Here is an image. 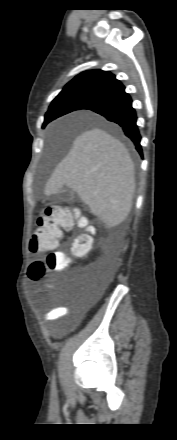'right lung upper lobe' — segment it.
Returning <instances> with one entry per match:
<instances>
[{"mask_svg": "<svg viewBox=\"0 0 177 440\" xmlns=\"http://www.w3.org/2000/svg\"><path fill=\"white\" fill-rule=\"evenodd\" d=\"M124 89L113 74L102 70L84 71L71 80L59 93L75 92L92 97L95 101ZM50 120L46 113L45 122ZM44 122V123H45Z\"/></svg>", "mask_w": 177, "mask_h": 440, "instance_id": "right-lung-upper-lobe-1", "label": "right lung upper lobe"}]
</instances>
